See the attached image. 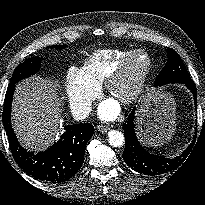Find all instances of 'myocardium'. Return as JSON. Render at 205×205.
<instances>
[{"instance_id":"obj_1","label":"myocardium","mask_w":205,"mask_h":205,"mask_svg":"<svg viewBox=\"0 0 205 205\" xmlns=\"http://www.w3.org/2000/svg\"><path fill=\"white\" fill-rule=\"evenodd\" d=\"M140 54H143L146 57V65L144 69L141 71L138 79L132 85L130 91L124 96H118L115 93V88L117 84L126 75L132 60ZM151 68H152V59L150 54L143 49L133 50L120 61V63L117 65L114 71L105 80L104 82L105 93L108 96L117 99L122 104H131L135 102L144 90Z\"/></svg>"}]
</instances>
